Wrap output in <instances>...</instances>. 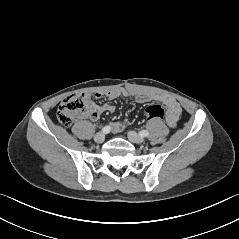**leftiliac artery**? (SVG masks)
Returning <instances> with one entry per match:
<instances>
[{"label":"left iliac artery","instance_id":"left-iliac-artery-1","mask_svg":"<svg viewBox=\"0 0 239 239\" xmlns=\"http://www.w3.org/2000/svg\"><path fill=\"white\" fill-rule=\"evenodd\" d=\"M148 134H149V133H148V131H146V130H143V131L140 132V136H141V137H147Z\"/></svg>","mask_w":239,"mask_h":239}]
</instances>
